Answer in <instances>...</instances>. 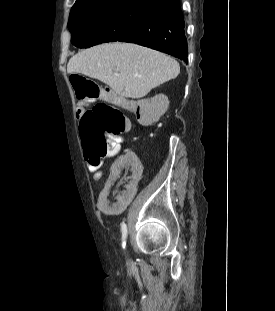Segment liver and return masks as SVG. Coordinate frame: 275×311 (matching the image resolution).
Returning <instances> with one entry per match:
<instances>
[{
	"label": "liver",
	"mask_w": 275,
	"mask_h": 311,
	"mask_svg": "<svg viewBox=\"0 0 275 311\" xmlns=\"http://www.w3.org/2000/svg\"><path fill=\"white\" fill-rule=\"evenodd\" d=\"M69 74L81 73L133 99L178 76L179 63L158 51L132 44L108 43L82 50L70 58Z\"/></svg>",
	"instance_id": "6515ba94"
}]
</instances>
